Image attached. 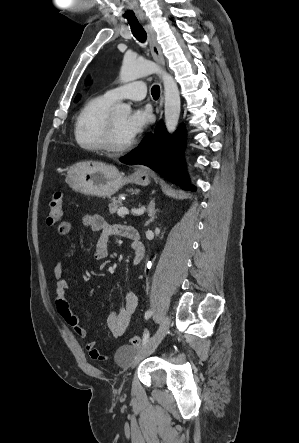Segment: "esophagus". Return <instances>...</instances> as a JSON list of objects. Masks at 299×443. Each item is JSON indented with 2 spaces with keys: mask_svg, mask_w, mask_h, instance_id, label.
Returning <instances> with one entry per match:
<instances>
[{
  "mask_svg": "<svg viewBox=\"0 0 299 443\" xmlns=\"http://www.w3.org/2000/svg\"><path fill=\"white\" fill-rule=\"evenodd\" d=\"M137 16H138L139 21L143 24V26L147 32V35L149 38L150 50H151L153 58L155 59V61L157 63L164 66L165 65L164 56L162 53L161 46L157 41V35H156V32H155L153 26L151 25L149 19L146 17V15L142 11H137ZM162 106H163V93H161V97H160L159 110H158L159 113H161ZM139 171H145V168L140 167Z\"/></svg>",
  "mask_w": 299,
  "mask_h": 443,
  "instance_id": "obj_1",
  "label": "esophagus"
}]
</instances>
